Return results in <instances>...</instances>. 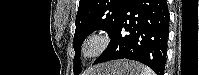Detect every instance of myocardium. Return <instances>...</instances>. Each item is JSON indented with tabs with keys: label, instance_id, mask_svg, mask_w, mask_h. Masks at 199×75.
<instances>
[{
	"label": "myocardium",
	"instance_id": "obj_1",
	"mask_svg": "<svg viewBox=\"0 0 199 75\" xmlns=\"http://www.w3.org/2000/svg\"><path fill=\"white\" fill-rule=\"evenodd\" d=\"M111 36L106 30H96L85 37L81 44V57L92 60L100 56L110 45Z\"/></svg>",
	"mask_w": 199,
	"mask_h": 75
}]
</instances>
